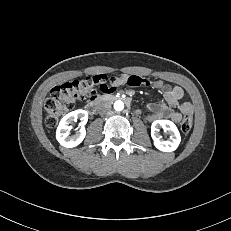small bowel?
<instances>
[{"instance_id": "c3829d8e", "label": "small bowel", "mask_w": 231, "mask_h": 231, "mask_svg": "<svg viewBox=\"0 0 231 231\" xmlns=\"http://www.w3.org/2000/svg\"><path fill=\"white\" fill-rule=\"evenodd\" d=\"M129 86L135 88H149L159 90L164 100L150 103L147 109L150 112L149 120L155 121L164 117L169 118L175 123L180 122L182 116L191 115L193 113V105L190 101H182L184 91L180 86H171L161 80H154L151 82L149 77H139L136 75H122L117 77L113 75L109 81H106L101 87L102 93H113L114 90H119L120 86ZM100 94L90 96L85 100L87 103L90 99L98 97Z\"/></svg>"}]
</instances>
